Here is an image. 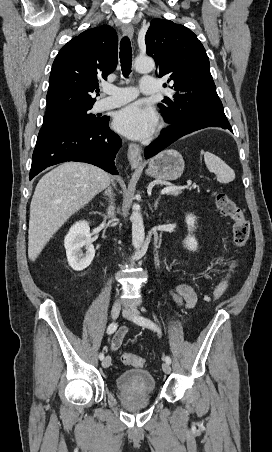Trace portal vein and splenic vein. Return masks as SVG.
Wrapping results in <instances>:
<instances>
[{
	"instance_id": "portal-vein-and-splenic-vein-1",
	"label": "portal vein and splenic vein",
	"mask_w": 272,
	"mask_h": 452,
	"mask_svg": "<svg viewBox=\"0 0 272 452\" xmlns=\"http://www.w3.org/2000/svg\"><path fill=\"white\" fill-rule=\"evenodd\" d=\"M185 188H189V184L185 185V186H169V187H165L164 189H162L161 194L164 195V194H168L172 191L181 190V189H185Z\"/></svg>"
}]
</instances>
